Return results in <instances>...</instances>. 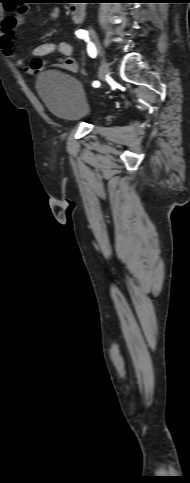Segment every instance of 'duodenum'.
<instances>
[{
	"mask_svg": "<svg viewBox=\"0 0 190 483\" xmlns=\"http://www.w3.org/2000/svg\"><path fill=\"white\" fill-rule=\"evenodd\" d=\"M85 1L84 0H74L71 6V18L74 23L80 22L85 14Z\"/></svg>",
	"mask_w": 190,
	"mask_h": 483,
	"instance_id": "duodenum-1",
	"label": "duodenum"
}]
</instances>
